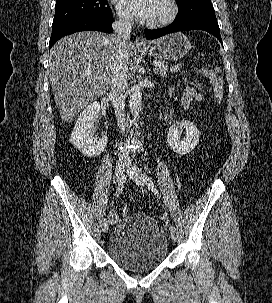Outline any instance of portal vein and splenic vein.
<instances>
[{
    "instance_id": "portal-vein-and-splenic-vein-1",
    "label": "portal vein and splenic vein",
    "mask_w": 272,
    "mask_h": 303,
    "mask_svg": "<svg viewBox=\"0 0 272 303\" xmlns=\"http://www.w3.org/2000/svg\"><path fill=\"white\" fill-rule=\"evenodd\" d=\"M153 71L155 72V73H158L159 72V67H155L154 69H153Z\"/></svg>"
}]
</instances>
